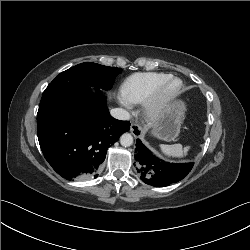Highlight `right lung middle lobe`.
Here are the masks:
<instances>
[{"label":"right lung middle lobe","mask_w":250,"mask_h":250,"mask_svg":"<svg viewBox=\"0 0 250 250\" xmlns=\"http://www.w3.org/2000/svg\"><path fill=\"white\" fill-rule=\"evenodd\" d=\"M121 68L103 66L97 63L85 62L61 72L43 92L40 104L55 97L62 90L76 86H93L97 89L112 88L115 77Z\"/></svg>","instance_id":"obj_1"}]
</instances>
